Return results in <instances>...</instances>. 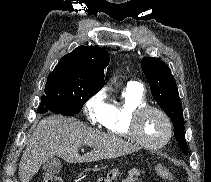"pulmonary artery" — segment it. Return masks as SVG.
<instances>
[{"instance_id": "pulmonary-artery-1", "label": "pulmonary artery", "mask_w": 211, "mask_h": 182, "mask_svg": "<svg viewBox=\"0 0 211 182\" xmlns=\"http://www.w3.org/2000/svg\"><path fill=\"white\" fill-rule=\"evenodd\" d=\"M128 86L135 87V88H140V89L142 88L141 85L139 83L135 82V81H130L128 83Z\"/></svg>"}]
</instances>
